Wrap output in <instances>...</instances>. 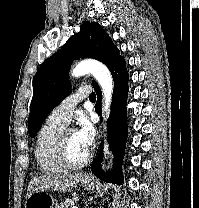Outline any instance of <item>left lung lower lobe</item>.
<instances>
[{
	"instance_id": "obj_1",
	"label": "left lung lower lobe",
	"mask_w": 199,
	"mask_h": 208,
	"mask_svg": "<svg viewBox=\"0 0 199 208\" xmlns=\"http://www.w3.org/2000/svg\"><path fill=\"white\" fill-rule=\"evenodd\" d=\"M114 80V90L112 95L111 113L108 119L109 143L116 155V168L110 173H104L101 170L102 148L98 160L91 165L92 172L108 182L121 184L123 174L121 172V161L124 156L126 139H127V111L126 102L128 95V72L124 59H121L110 70ZM97 93L96 111L101 113L102 93L98 85L95 87Z\"/></svg>"
}]
</instances>
